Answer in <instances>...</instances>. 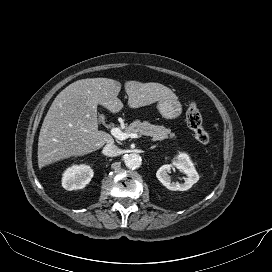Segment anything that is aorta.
Instances as JSON below:
<instances>
[{
  "instance_id": "762f6f07",
  "label": "aorta",
  "mask_w": 272,
  "mask_h": 272,
  "mask_svg": "<svg viewBox=\"0 0 272 272\" xmlns=\"http://www.w3.org/2000/svg\"><path fill=\"white\" fill-rule=\"evenodd\" d=\"M142 159L140 155L131 153L125 157V165L129 169H137L140 167Z\"/></svg>"
}]
</instances>
